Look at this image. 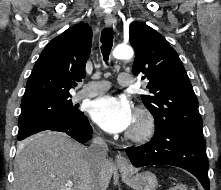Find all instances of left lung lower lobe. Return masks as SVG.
I'll list each match as a JSON object with an SVG mask.
<instances>
[{"label": "left lung lower lobe", "instance_id": "1", "mask_svg": "<svg viewBox=\"0 0 221 190\" xmlns=\"http://www.w3.org/2000/svg\"><path fill=\"white\" fill-rule=\"evenodd\" d=\"M206 142L179 127L168 124L155 125L154 137L145 145L127 148L126 153L136 167L147 165H172L192 173L205 190H210Z\"/></svg>", "mask_w": 221, "mask_h": 190}]
</instances>
